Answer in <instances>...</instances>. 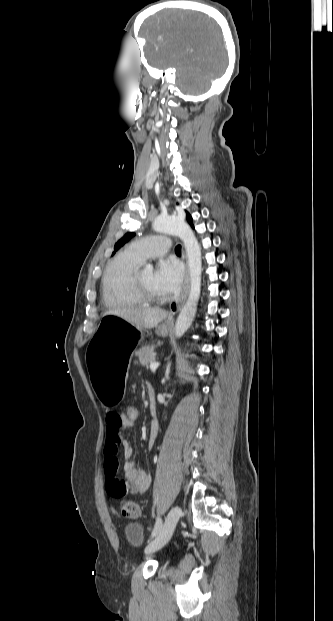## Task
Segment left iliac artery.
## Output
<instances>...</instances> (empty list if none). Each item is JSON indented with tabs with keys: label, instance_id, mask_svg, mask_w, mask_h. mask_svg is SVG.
<instances>
[{
	"label": "left iliac artery",
	"instance_id": "1",
	"mask_svg": "<svg viewBox=\"0 0 333 621\" xmlns=\"http://www.w3.org/2000/svg\"><path fill=\"white\" fill-rule=\"evenodd\" d=\"M158 499H159V496L155 498L154 505L158 503ZM161 528H162V519L160 517H157L151 537L152 538L155 537L160 532Z\"/></svg>",
	"mask_w": 333,
	"mask_h": 621
}]
</instances>
